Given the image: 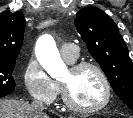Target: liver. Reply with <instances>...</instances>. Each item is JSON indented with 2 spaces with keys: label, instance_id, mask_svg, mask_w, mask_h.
Listing matches in <instances>:
<instances>
[{
  "label": "liver",
  "instance_id": "1",
  "mask_svg": "<svg viewBox=\"0 0 133 118\" xmlns=\"http://www.w3.org/2000/svg\"><path fill=\"white\" fill-rule=\"evenodd\" d=\"M0 118H48L46 114L39 117L31 104L19 100H0Z\"/></svg>",
  "mask_w": 133,
  "mask_h": 118
}]
</instances>
